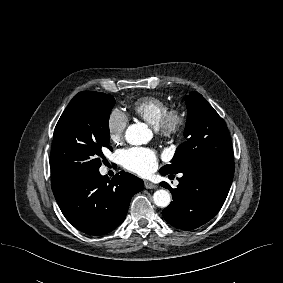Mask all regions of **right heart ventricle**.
<instances>
[{
	"label": "right heart ventricle",
	"mask_w": 283,
	"mask_h": 283,
	"mask_svg": "<svg viewBox=\"0 0 283 283\" xmlns=\"http://www.w3.org/2000/svg\"><path fill=\"white\" fill-rule=\"evenodd\" d=\"M168 106L169 104L165 99L149 95L137 99L131 106V112L145 120L152 127L157 128Z\"/></svg>",
	"instance_id": "1"
}]
</instances>
